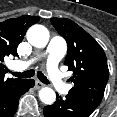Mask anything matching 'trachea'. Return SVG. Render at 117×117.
<instances>
[{"label":"trachea","mask_w":117,"mask_h":117,"mask_svg":"<svg viewBox=\"0 0 117 117\" xmlns=\"http://www.w3.org/2000/svg\"><path fill=\"white\" fill-rule=\"evenodd\" d=\"M11 74L14 75L15 77H18V78H30V77L34 76L35 70L30 69V70L25 71L23 73L11 72ZM37 77L44 84H49L50 83L49 80L40 71L37 72Z\"/></svg>","instance_id":"obj_1"}]
</instances>
